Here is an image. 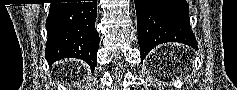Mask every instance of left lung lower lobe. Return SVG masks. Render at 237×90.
<instances>
[{"mask_svg":"<svg viewBox=\"0 0 237 90\" xmlns=\"http://www.w3.org/2000/svg\"><path fill=\"white\" fill-rule=\"evenodd\" d=\"M141 60L156 45L178 42L197 48L186 0H135Z\"/></svg>","mask_w":237,"mask_h":90,"instance_id":"0a47b994","label":"left lung lower lobe"}]
</instances>
